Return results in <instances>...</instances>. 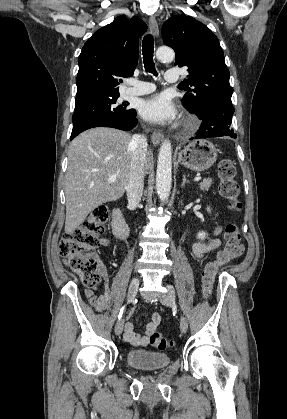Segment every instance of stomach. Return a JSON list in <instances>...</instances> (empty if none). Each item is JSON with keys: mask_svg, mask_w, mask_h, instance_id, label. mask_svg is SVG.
<instances>
[{"mask_svg": "<svg viewBox=\"0 0 287 419\" xmlns=\"http://www.w3.org/2000/svg\"><path fill=\"white\" fill-rule=\"evenodd\" d=\"M217 159V150L208 140H193L179 153L178 161L184 167L201 172L209 169Z\"/></svg>", "mask_w": 287, "mask_h": 419, "instance_id": "stomach-1", "label": "stomach"}]
</instances>
